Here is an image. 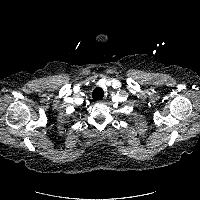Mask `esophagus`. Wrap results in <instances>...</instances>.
I'll use <instances>...</instances> for the list:
<instances>
[{
    "label": "esophagus",
    "mask_w": 200,
    "mask_h": 200,
    "mask_svg": "<svg viewBox=\"0 0 200 200\" xmlns=\"http://www.w3.org/2000/svg\"><path fill=\"white\" fill-rule=\"evenodd\" d=\"M99 102H100V103H104V100H100Z\"/></svg>",
    "instance_id": "obj_1"
}]
</instances>
